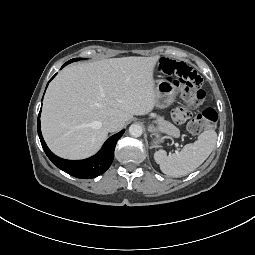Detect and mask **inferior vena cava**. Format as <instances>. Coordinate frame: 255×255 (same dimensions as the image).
<instances>
[{
  "mask_svg": "<svg viewBox=\"0 0 255 255\" xmlns=\"http://www.w3.org/2000/svg\"><path fill=\"white\" fill-rule=\"evenodd\" d=\"M121 122L116 118H109L104 122V127L108 132H115L121 128Z\"/></svg>",
  "mask_w": 255,
  "mask_h": 255,
  "instance_id": "602c4592",
  "label": "inferior vena cava"
}]
</instances>
